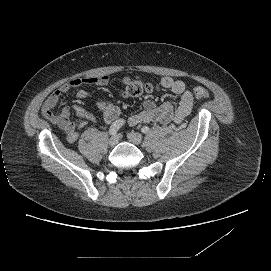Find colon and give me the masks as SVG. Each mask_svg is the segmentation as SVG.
Listing matches in <instances>:
<instances>
[{"label":"colon","instance_id":"1","mask_svg":"<svg viewBox=\"0 0 271 271\" xmlns=\"http://www.w3.org/2000/svg\"><path fill=\"white\" fill-rule=\"evenodd\" d=\"M156 89L157 87L154 84L144 79L135 78L128 84L127 93L129 96H139L144 92H153ZM192 92L193 95L198 99H207L210 97L209 92L202 87H196Z\"/></svg>","mask_w":271,"mask_h":271}]
</instances>
